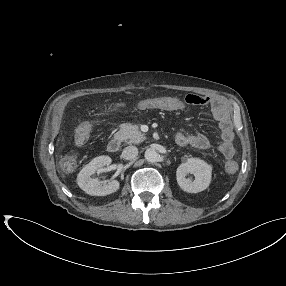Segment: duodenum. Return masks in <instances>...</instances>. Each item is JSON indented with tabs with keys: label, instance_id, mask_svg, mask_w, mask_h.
I'll list each match as a JSON object with an SVG mask.
<instances>
[{
	"label": "duodenum",
	"instance_id": "410a0bca",
	"mask_svg": "<svg viewBox=\"0 0 286 286\" xmlns=\"http://www.w3.org/2000/svg\"><path fill=\"white\" fill-rule=\"evenodd\" d=\"M121 146V140L119 137H113L109 140L107 144L108 151L111 153H116L119 151Z\"/></svg>",
	"mask_w": 286,
	"mask_h": 286
}]
</instances>
